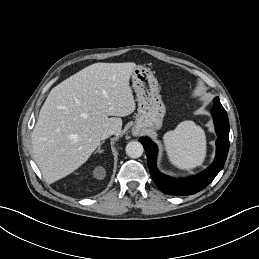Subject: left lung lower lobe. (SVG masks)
I'll list each match as a JSON object with an SVG mask.
<instances>
[{
    "label": "left lung lower lobe",
    "mask_w": 259,
    "mask_h": 259,
    "mask_svg": "<svg viewBox=\"0 0 259 259\" xmlns=\"http://www.w3.org/2000/svg\"><path fill=\"white\" fill-rule=\"evenodd\" d=\"M213 105L212 116L218 136L216 141V157L213 164L201 174L181 180L163 175L156 167V145L147 137L139 138L147 154V163L152 178L162 192L171 195L195 194L209 185L222 170L229 150V120L218 97L214 98Z\"/></svg>",
    "instance_id": "0a47b994"
}]
</instances>
